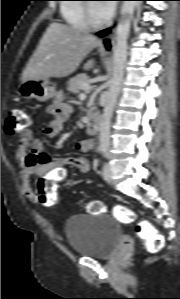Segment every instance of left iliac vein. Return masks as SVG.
<instances>
[{
	"label": "left iliac vein",
	"mask_w": 180,
	"mask_h": 299,
	"mask_svg": "<svg viewBox=\"0 0 180 299\" xmlns=\"http://www.w3.org/2000/svg\"><path fill=\"white\" fill-rule=\"evenodd\" d=\"M103 179L107 183H112L111 165L106 163L103 167Z\"/></svg>",
	"instance_id": "obj_1"
}]
</instances>
